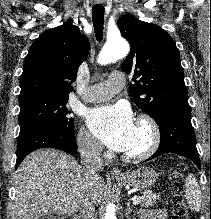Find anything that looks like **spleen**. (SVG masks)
<instances>
[{
	"label": "spleen",
	"mask_w": 211,
	"mask_h": 219,
	"mask_svg": "<svg viewBox=\"0 0 211 219\" xmlns=\"http://www.w3.org/2000/svg\"><path fill=\"white\" fill-rule=\"evenodd\" d=\"M186 199L191 211L198 212L201 208V190L193 174L186 178Z\"/></svg>",
	"instance_id": "3e777b00"
}]
</instances>
